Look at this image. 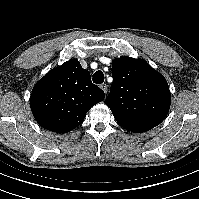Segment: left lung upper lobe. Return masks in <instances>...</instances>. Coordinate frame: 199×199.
<instances>
[{
    "label": "left lung upper lobe",
    "mask_w": 199,
    "mask_h": 199,
    "mask_svg": "<svg viewBox=\"0 0 199 199\" xmlns=\"http://www.w3.org/2000/svg\"><path fill=\"white\" fill-rule=\"evenodd\" d=\"M112 77L105 104L123 128L146 132L165 119L171 103L168 83L145 60L114 59Z\"/></svg>",
    "instance_id": "left-lung-upper-lobe-1"
}]
</instances>
